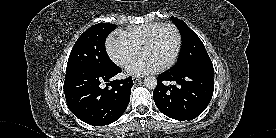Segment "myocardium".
Instances as JSON below:
<instances>
[{"label":"myocardium","instance_id":"obj_1","mask_svg":"<svg viewBox=\"0 0 276 138\" xmlns=\"http://www.w3.org/2000/svg\"><path fill=\"white\" fill-rule=\"evenodd\" d=\"M164 29H171L174 32L176 37V48L170 60L161 66V69L163 70L170 68L176 62L179 56V53L181 51L182 36L177 26L172 23H162L157 29H155L151 33V35L145 40V42L141 46V50H142L150 46L151 44H153Z\"/></svg>","mask_w":276,"mask_h":138}]
</instances>
